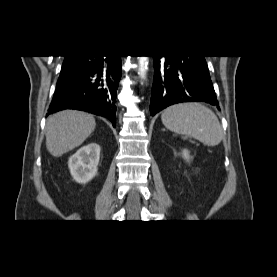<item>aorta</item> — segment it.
Wrapping results in <instances>:
<instances>
[{"instance_id":"aorta-1","label":"aorta","mask_w":277,"mask_h":277,"mask_svg":"<svg viewBox=\"0 0 277 277\" xmlns=\"http://www.w3.org/2000/svg\"><path fill=\"white\" fill-rule=\"evenodd\" d=\"M139 60V75L141 78L145 77L147 65H148V57L147 56H138Z\"/></svg>"}]
</instances>
